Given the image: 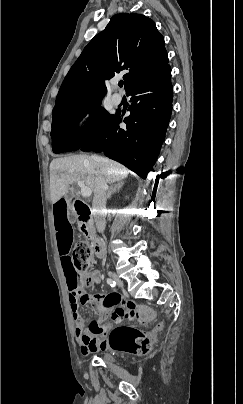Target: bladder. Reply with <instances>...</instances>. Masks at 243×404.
<instances>
[{
	"mask_svg": "<svg viewBox=\"0 0 243 404\" xmlns=\"http://www.w3.org/2000/svg\"><path fill=\"white\" fill-rule=\"evenodd\" d=\"M100 358L102 359L103 362L105 363H111L112 362V356L109 352L104 351L101 353Z\"/></svg>",
	"mask_w": 243,
	"mask_h": 404,
	"instance_id": "obj_1",
	"label": "bladder"
}]
</instances>
